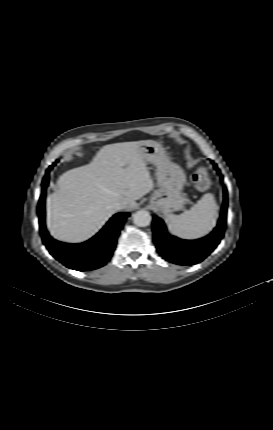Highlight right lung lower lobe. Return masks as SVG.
I'll use <instances>...</instances> for the list:
<instances>
[{
    "label": "right lung lower lobe",
    "mask_w": 273,
    "mask_h": 430,
    "mask_svg": "<svg viewBox=\"0 0 273 430\" xmlns=\"http://www.w3.org/2000/svg\"><path fill=\"white\" fill-rule=\"evenodd\" d=\"M54 165L55 163L46 170V176L42 182V194L38 203L39 226L43 243L51 255L70 269L89 271L100 268L110 260L116 247L119 232L129 213L114 215L98 234L86 242L67 244L54 240L47 232L44 222L46 187L50 169Z\"/></svg>",
    "instance_id": "right-lung-lower-lobe-1"
}]
</instances>
